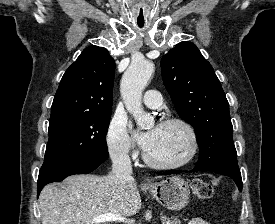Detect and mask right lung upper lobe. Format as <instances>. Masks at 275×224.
Masks as SVG:
<instances>
[{"label":"right lung upper lobe","mask_w":275,"mask_h":224,"mask_svg":"<svg viewBox=\"0 0 275 224\" xmlns=\"http://www.w3.org/2000/svg\"><path fill=\"white\" fill-rule=\"evenodd\" d=\"M114 72V59L105 48H85L63 75L51 107V116L112 112Z\"/></svg>","instance_id":"1"}]
</instances>
